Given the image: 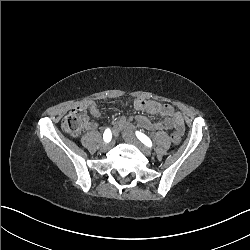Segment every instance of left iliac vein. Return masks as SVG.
<instances>
[{
	"label": "left iliac vein",
	"mask_w": 250,
	"mask_h": 250,
	"mask_svg": "<svg viewBox=\"0 0 250 250\" xmlns=\"http://www.w3.org/2000/svg\"><path fill=\"white\" fill-rule=\"evenodd\" d=\"M123 137L127 142L137 146L144 155H151L150 149L142 144L128 128L123 130Z\"/></svg>",
	"instance_id": "left-iliac-vein-1"
}]
</instances>
